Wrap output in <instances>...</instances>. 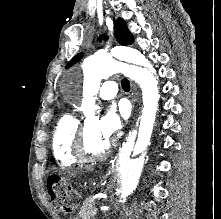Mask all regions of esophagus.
Segmentation results:
<instances>
[{
	"mask_svg": "<svg viewBox=\"0 0 221 219\" xmlns=\"http://www.w3.org/2000/svg\"><path fill=\"white\" fill-rule=\"evenodd\" d=\"M131 88H132L131 101L134 104L136 102L137 92H136V88L133 84L131 85Z\"/></svg>",
	"mask_w": 221,
	"mask_h": 219,
	"instance_id": "34e87169",
	"label": "esophagus"
}]
</instances>
